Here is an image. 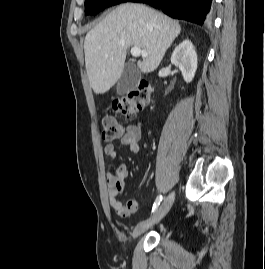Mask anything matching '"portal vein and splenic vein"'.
<instances>
[{"mask_svg":"<svg viewBox=\"0 0 265 269\" xmlns=\"http://www.w3.org/2000/svg\"><path fill=\"white\" fill-rule=\"evenodd\" d=\"M131 54L135 57L137 56H142L143 58L147 57L148 56V52L145 51V50H142L141 48L139 47H132L131 48Z\"/></svg>","mask_w":265,"mask_h":269,"instance_id":"portal-vein-and-splenic-vein-1","label":"portal vein and splenic vein"}]
</instances>
